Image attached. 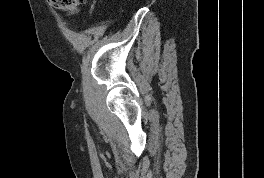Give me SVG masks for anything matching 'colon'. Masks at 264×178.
<instances>
[{"instance_id":"1","label":"colon","mask_w":264,"mask_h":178,"mask_svg":"<svg viewBox=\"0 0 264 178\" xmlns=\"http://www.w3.org/2000/svg\"><path fill=\"white\" fill-rule=\"evenodd\" d=\"M50 4L58 10L75 13L86 0H49Z\"/></svg>"}]
</instances>
